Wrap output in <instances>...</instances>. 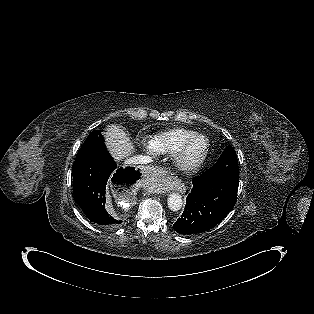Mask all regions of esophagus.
<instances>
[{
  "mask_svg": "<svg viewBox=\"0 0 314 314\" xmlns=\"http://www.w3.org/2000/svg\"><path fill=\"white\" fill-rule=\"evenodd\" d=\"M154 176L157 178L158 182H161L163 187L161 188L162 193L170 192L171 190H177L181 193L185 192V187L180 184V182L175 181V178L169 177L164 174L159 167H154L152 169ZM165 175V176H164Z\"/></svg>",
  "mask_w": 314,
  "mask_h": 314,
  "instance_id": "1",
  "label": "esophagus"
}]
</instances>
